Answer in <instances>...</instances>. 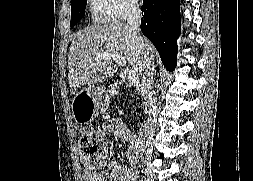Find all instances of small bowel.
<instances>
[{
  "instance_id": "1",
  "label": "small bowel",
  "mask_w": 253,
  "mask_h": 181,
  "mask_svg": "<svg viewBox=\"0 0 253 181\" xmlns=\"http://www.w3.org/2000/svg\"><path fill=\"white\" fill-rule=\"evenodd\" d=\"M106 132L135 146V149L125 155V163L110 161L106 169L100 173L87 172V181H135L137 178V161L139 155V145L141 144L137 136L129 130L119 119H113L104 125Z\"/></svg>"
}]
</instances>
